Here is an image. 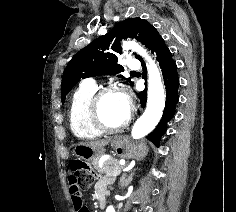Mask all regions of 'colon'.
<instances>
[{
  "instance_id": "5ec220e1",
  "label": "colon",
  "mask_w": 236,
  "mask_h": 212,
  "mask_svg": "<svg viewBox=\"0 0 236 212\" xmlns=\"http://www.w3.org/2000/svg\"><path fill=\"white\" fill-rule=\"evenodd\" d=\"M70 175H78L82 185L90 187L95 180V172L85 162L74 160L70 164Z\"/></svg>"
}]
</instances>
